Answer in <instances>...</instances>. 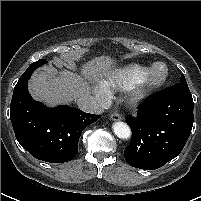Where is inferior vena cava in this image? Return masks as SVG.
Listing matches in <instances>:
<instances>
[{
    "mask_svg": "<svg viewBox=\"0 0 201 201\" xmlns=\"http://www.w3.org/2000/svg\"><path fill=\"white\" fill-rule=\"evenodd\" d=\"M77 106L88 113L102 114L101 103L91 95L83 94L76 99Z\"/></svg>",
    "mask_w": 201,
    "mask_h": 201,
    "instance_id": "1",
    "label": "inferior vena cava"
}]
</instances>
